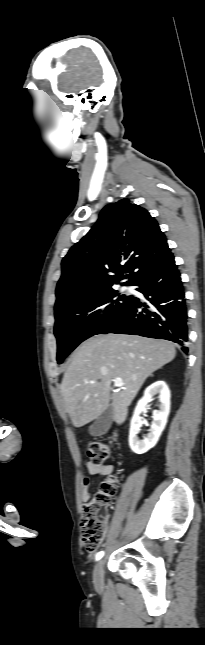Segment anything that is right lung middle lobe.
I'll return each instance as SVG.
<instances>
[{"label": "right lung middle lobe", "mask_w": 205, "mask_h": 645, "mask_svg": "<svg viewBox=\"0 0 205 645\" xmlns=\"http://www.w3.org/2000/svg\"><path fill=\"white\" fill-rule=\"evenodd\" d=\"M131 285V284H125ZM133 296L120 295L117 290L109 289L83 296L71 306L55 313L54 333L57 338V361L64 358L87 338L101 334L113 325L131 302ZM106 316L100 318L96 307L107 304Z\"/></svg>", "instance_id": "obj_1"}]
</instances>
